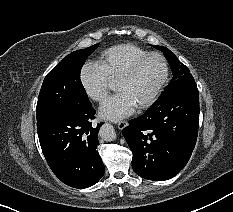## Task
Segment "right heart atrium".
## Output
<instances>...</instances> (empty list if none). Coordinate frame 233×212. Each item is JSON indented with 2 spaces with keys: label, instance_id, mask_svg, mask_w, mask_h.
<instances>
[{
  "label": "right heart atrium",
  "instance_id": "right-heart-atrium-1",
  "mask_svg": "<svg viewBox=\"0 0 233 212\" xmlns=\"http://www.w3.org/2000/svg\"><path fill=\"white\" fill-rule=\"evenodd\" d=\"M79 81L86 96L95 101L106 99L109 90V79L96 63H85L79 73Z\"/></svg>",
  "mask_w": 233,
  "mask_h": 212
}]
</instances>
